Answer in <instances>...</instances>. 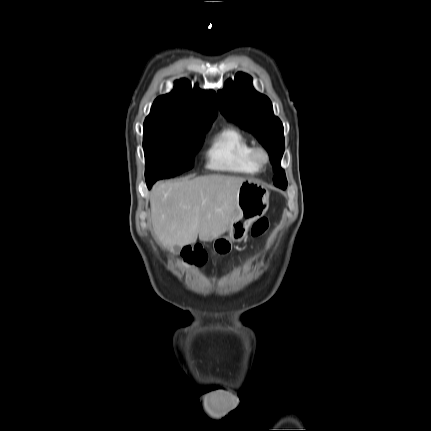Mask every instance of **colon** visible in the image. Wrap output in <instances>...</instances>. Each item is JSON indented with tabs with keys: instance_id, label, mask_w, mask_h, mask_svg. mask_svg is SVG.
<instances>
[{
	"instance_id": "obj_1",
	"label": "colon",
	"mask_w": 431,
	"mask_h": 431,
	"mask_svg": "<svg viewBox=\"0 0 431 431\" xmlns=\"http://www.w3.org/2000/svg\"><path fill=\"white\" fill-rule=\"evenodd\" d=\"M268 226V221L265 218L259 219L252 227L251 233L253 236H259L261 235ZM186 255L188 259L196 264H201L205 261L206 255L205 253L200 249L195 247L194 249H190L186 252Z\"/></svg>"
}]
</instances>
